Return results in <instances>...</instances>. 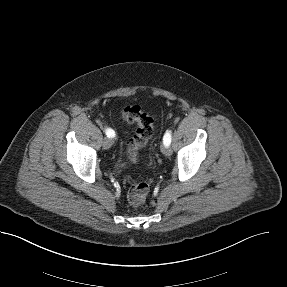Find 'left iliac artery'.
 Listing matches in <instances>:
<instances>
[{
  "instance_id": "1",
  "label": "left iliac artery",
  "mask_w": 287,
  "mask_h": 287,
  "mask_svg": "<svg viewBox=\"0 0 287 287\" xmlns=\"http://www.w3.org/2000/svg\"><path fill=\"white\" fill-rule=\"evenodd\" d=\"M163 143L166 146H169L171 143V131L167 130L164 137H163Z\"/></svg>"
}]
</instances>
